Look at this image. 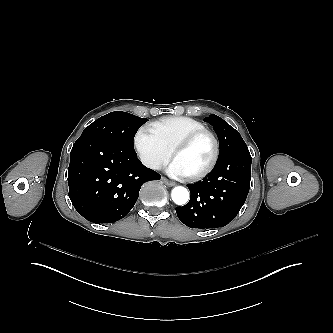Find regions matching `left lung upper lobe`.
Returning a JSON list of instances; mask_svg holds the SVG:
<instances>
[{
  "label": "left lung upper lobe",
  "mask_w": 333,
  "mask_h": 333,
  "mask_svg": "<svg viewBox=\"0 0 333 333\" xmlns=\"http://www.w3.org/2000/svg\"><path fill=\"white\" fill-rule=\"evenodd\" d=\"M204 121L213 126L219 139L220 151L217 161L222 160L235 151L247 149V145L240 133L220 117L210 115L209 117H206Z\"/></svg>",
  "instance_id": "1"
}]
</instances>
